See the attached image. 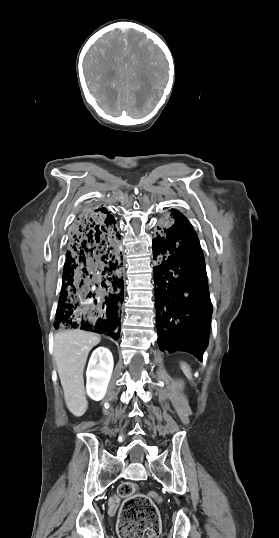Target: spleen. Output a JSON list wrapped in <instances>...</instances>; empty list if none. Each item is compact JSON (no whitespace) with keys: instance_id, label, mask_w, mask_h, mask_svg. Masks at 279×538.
I'll return each mask as SVG.
<instances>
[{"instance_id":"3e777b00","label":"spleen","mask_w":279,"mask_h":538,"mask_svg":"<svg viewBox=\"0 0 279 538\" xmlns=\"http://www.w3.org/2000/svg\"><path fill=\"white\" fill-rule=\"evenodd\" d=\"M181 368H182L185 376H187V378H189V380H191L192 374H191L190 366H188V364H182Z\"/></svg>"}]
</instances>
